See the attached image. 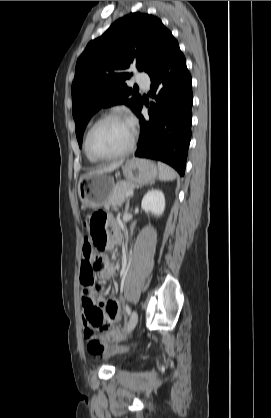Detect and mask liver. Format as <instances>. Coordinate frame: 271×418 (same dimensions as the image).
<instances>
[{"label":"liver","mask_w":271,"mask_h":418,"mask_svg":"<svg viewBox=\"0 0 271 418\" xmlns=\"http://www.w3.org/2000/svg\"><path fill=\"white\" fill-rule=\"evenodd\" d=\"M122 164H123V161L115 162V163H112V164H110V165H108L106 167H103V168H100V169L91 171L87 175L110 173V172H113L114 170H116Z\"/></svg>","instance_id":"obj_1"}]
</instances>
